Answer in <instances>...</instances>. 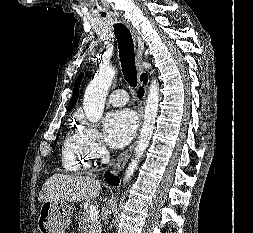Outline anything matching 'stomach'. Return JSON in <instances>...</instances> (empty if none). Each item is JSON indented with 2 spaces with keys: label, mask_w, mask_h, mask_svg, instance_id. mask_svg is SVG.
<instances>
[{
  "label": "stomach",
  "mask_w": 253,
  "mask_h": 233,
  "mask_svg": "<svg viewBox=\"0 0 253 233\" xmlns=\"http://www.w3.org/2000/svg\"><path fill=\"white\" fill-rule=\"evenodd\" d=\"M71 207L65 202H42L38 217L40 233H64L71 222Z\"/></svg>",
  "instance_id": "obj_1"
}]
</instances>
